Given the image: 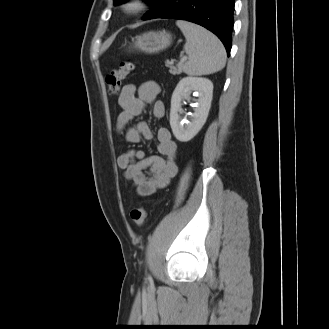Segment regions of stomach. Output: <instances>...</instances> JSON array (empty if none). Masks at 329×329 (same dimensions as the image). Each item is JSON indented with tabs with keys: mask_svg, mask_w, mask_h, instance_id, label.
I'll use <instances>...</instances> for the list:
<instances>
[{
	"mask_svg": "<svg viewBox=\"0 0 329 329\" xmlns=\"http://www.w3.org/2000/svg\"><path fill=\"white\" fill-rule=\"evenodd\" d=\"M172 43V35L165 30L150 31L135 38L133 48L145 53H158Z\"/></svg>",
	"mask_w": 329,
	"mask_h": 329,
	"instance_id": "obj_1",
	"label": "stomach"
}]
</instances>
